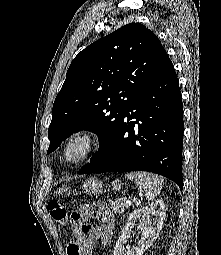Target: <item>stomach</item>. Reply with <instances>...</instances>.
<instances>
[{"label": "stomach", "instance_id": "stomach-1", "mask_svg": "<svg viewBox=\"0 0 221 255\" xmlns=\"http://www.w3.org/2000/svg\"><path fill=\"white\" fill-rule=\"evenodd\" d=\"M114 190H120L122 188V183L119 180H114L112 183ZM109 188L110 185H104L103 182L97 178H88L85 180L83 185V190L88 195H98L103 192L104 188ZM64 192V188H59L55 191V194L60 195Z\"/></svg>", "mask_w": 221, "mask_h": 255}]
</instances>
